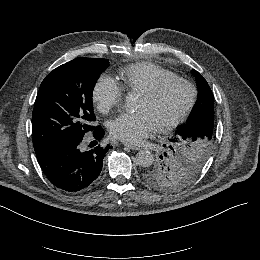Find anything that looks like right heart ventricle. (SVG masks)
<instances>
[{
  "mask_svg": "<svg viewBox=\"0 0 260 260\" xmlns=\"http://www.w3.org/2000/svg\"><path fill=\"white\" fill-rule=\"evenodd\" d=\"M154 74L158 76L159 80L175 76L171 71L155 64H134L121 74L123 87L137 93L150 89L154 83Z\"/></svg>",
  "mask_w": 260,
  "mask_h": 260,
  "instance_id": "right-heart-ventricle-1",
  "label": "right heart ventricle"
}]
</instances>
